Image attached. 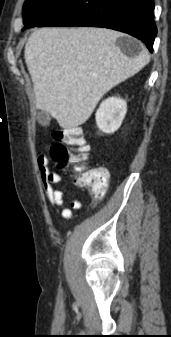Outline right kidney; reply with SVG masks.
<instances>
[{"instance_id": "obj_1", "label": "right kidney", "mask_w": 171, "mask_h": 337, "mask_svg": "<svg viewBox=\"0 0 171 337\" xmlns=\"http://www.w3.org/2000/svg\"><path fill=\"white\" fill-rule=\"evenodd\" d=\"M127 112V103L120 97L104 100L96 112V123L104 133H114L119 129Z\"/></svg>"}]
</instances>
